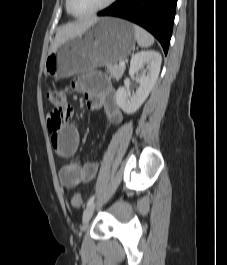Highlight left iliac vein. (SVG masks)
Listing matches in <instances>:
<instances>
[{
    "instance_id": "4c4485c4",
    "label": "left iliac vein",
    "mask_w": 227,
    "mask_h": 265,
    "mask_svg": "<svg viewBox=\"0 0 227 265\" xmlns=\"http://www.w3.org/2000/svg\"><path fill=\"white\" fill-rule=\"evenodd\" d=\"M94 210H95V203H92L91 205L87 206V208L83 213V220H82L83 225H86L89 222V220L93 215Z\"/></svg>"
}]
</instances>
